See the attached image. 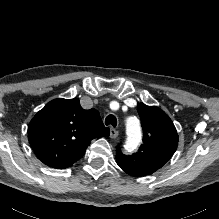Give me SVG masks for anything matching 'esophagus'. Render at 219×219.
Segmentation results:
<instances>
[{"label":"esophagus","mask_w":219,"mask_h":219,"mask_svg":"<svg viewBox=\"0 0 219 219\" xmlns=\"http://www.w3.org/2000/svg\"><path fill=\"white\" fill-rule=\"evenodd\" d=\"M119 136V132L115 128H110V137L115 139Z\"/></svg>","instance_id":"1"}]
</instances>
